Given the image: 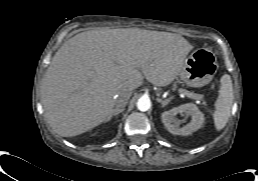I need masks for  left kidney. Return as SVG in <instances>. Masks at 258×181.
Listing matches in <instances>:
<instances>
[{
  "instance_id": "1",
  "label": "left kidney",
  "mask_w": 258,
  "mask_h": 181,
  "mask_svg": "<svg viewBox=\"0 0 258 181\" xmlns=\"http://www.w3.org/2000/svg\"><path fill=\"white\" fill-rule=\"evenodd\" d=\"M177 114L190 116L191 121L180 127L176 118ZM162 122L171 134L187 136L201 128L204 123V115L196 105L187 103L163 112Z\"/></svg>"
}]
</instances>
